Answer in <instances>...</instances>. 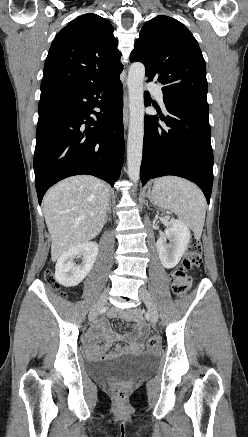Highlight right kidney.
<instances>
[{
    "mask_svg": "<svg viewBox=\"0 0 248 437\" xmlns=\"http://www.w3.org/2000/svg\"><path fill=\"white\" fill-rule=\"evenodd\" d=\"M98 254V245L94 242H85L64 252L55 266V279L65 287H74L80 284L91 271ZM83 255V261L76 265L73 259Z\"/></svg>",
    "mask_w": 248,
    "mask_h": 437,
    "instance_id": "right-kidney-1",
    "label": "right kidney"
}]
</instances>
